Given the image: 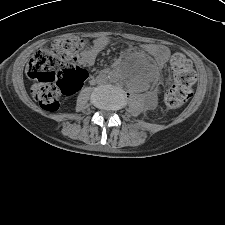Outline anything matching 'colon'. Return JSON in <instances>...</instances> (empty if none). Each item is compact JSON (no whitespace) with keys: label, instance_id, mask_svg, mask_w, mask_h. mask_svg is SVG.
Here are the masks:
<instances>
[{"label":"colon","instance_id":"colon-1","mask_svg":"<svg viewBox=\"0 0 225 225\" xmlns=\"http://www.w3.org/2000/svg\"><path fill=\"white\" fill-rule=\"evenodd\" d=\"M84 41L76 37H61L50 48L35 53L26 67L29 78L35 81L31 88L33 98L47 111L59 108L64 97L77 92L87 72L76 66V57ZM173 85L165 94L168 108H179L193 95L194 72L190 61L182 54L171 57ZM60 71L63 75L59 78Z\"/></svg>","mask_w":225,"mask_h":225}]
</instances>
